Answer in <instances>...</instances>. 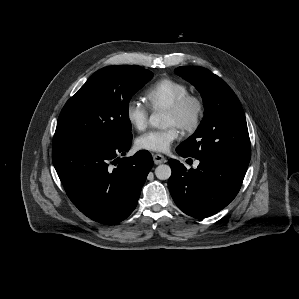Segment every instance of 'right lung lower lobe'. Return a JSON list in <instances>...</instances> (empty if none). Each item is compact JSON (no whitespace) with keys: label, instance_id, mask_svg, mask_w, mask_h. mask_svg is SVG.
Segmentation results:
<instances>
[{"label":"right lung lower lobe","instance_id":"right-lung-lower-lobe-1","mask_svg":"<svg viewBox=\"0 0 299 299\" xmlns=\"http://www.w3.org/2000/svg\"><path fill=\"white\" fill-rule=\"evenodd\" d=\"M132 136L104 143L53 139L52 160L73 204L94 221L115 224L135 209L142 186L153 166L151 154L130 149Z\"/></svg>","mask_w":299,"mask_h":299}]
</instances>
